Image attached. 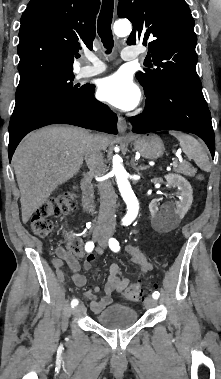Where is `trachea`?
I'll return each instance as SVG.
<instances>
[{
    "label": "trachea",
    "instance_id": "obj_1",
    "mask_svg": "<svg viewBox=\"0 0 221 379\" xmlns=\"http://www.w3.org/2000/svg\"><path fill=\"white\" fill-rule=\"evenodd\" d=\"M114 0H103L101 11L97 22L98 35L106 48V53L110 54L114 45L111 31Z\"/></svg>",
    "mask_w": 221,
    "mask_h": 379
}]
</instances>
